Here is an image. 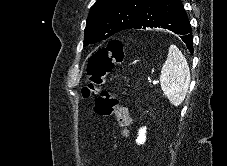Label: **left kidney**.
Listing matches in <instances>:
<instances>
[{
    "mask_svg": "<svg viewBox=\"0 0 227 166\" xmlns=\"http://www.w3.org/2000/svg\"><path fill=\"white\" fill-rule=\"evenodd\" d=\"M146 141V127L140 128L138 132V137L136 139V143L141 145L144 144Z\"/></svg>",
    "mask_w": 227,
    "mask_h": 166,
    "instance_id": "left-kidney-1",
    "label": "left kidney"
}]
</instances>
